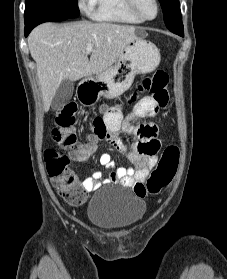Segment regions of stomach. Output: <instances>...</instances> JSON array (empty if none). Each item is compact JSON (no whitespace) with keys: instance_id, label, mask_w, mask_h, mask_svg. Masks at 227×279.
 I'll use <instances>...</instances> for the list:
<instances>
[{"instance_id":"obj_1","label":"stomach","mask_w":227,"mask_h":279,"mask_svg":"<svg viewBox=\"0 0 227 279\" xmlns=\"http://www.w3.org/2000/svg\"><path fill=\"white\" fill-rule=\"evenodd\" d=\"M160 63V52L156 45L139 33L129 43L115 64L96 78L84 79L78 88V98L83 105L92 106L101 96L117 98L132 85L135 75L149 73Z\"/></svg>"}]
</instances>
